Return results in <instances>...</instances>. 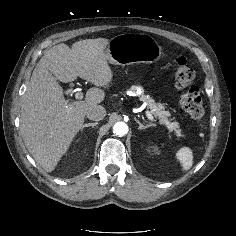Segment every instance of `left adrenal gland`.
<instances>
[{"instance_id": "obj_1", "label": "left adrenal gland", "mask_w": 236, "mask_h": 236, "mask_svg": "<svg viewBox=\"0 0 236 236\" xmlns=\"http://www.w3.org/2000/svg\"><path fill=\"white\" fill-rule=\"evenodd\" d=\"M135 121L139 124V130H143V129H146L148 127H150V125H143L139 120H137L135 118Z\"/></svg>"}]
</instances>
